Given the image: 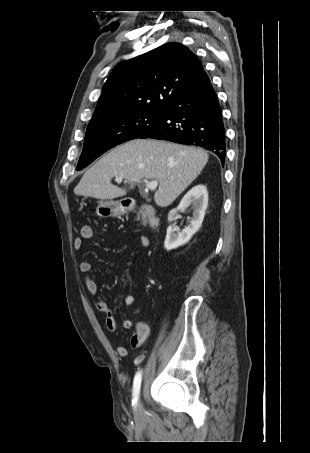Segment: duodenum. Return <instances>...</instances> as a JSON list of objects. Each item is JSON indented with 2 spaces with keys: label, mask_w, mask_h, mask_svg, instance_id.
Here are the masks:
<instances>
[{
  "label": "duodenum",
  "mask_w": 310,
  "mask_h": 453,
  "mask_svg": "<svg viewBox=\"0 0 310 453\" xmlns=\"http://www.w3.org/2000/svg\"><path fill=\"white\" fill-rule=\"evenodd\" d=\"M141 213L150 228H152V229L157 228L158 219L155 215V211L150 206H145L142 209Z\"/></svg>",
  "instance_id": "obj_1"
}]
</instances>
